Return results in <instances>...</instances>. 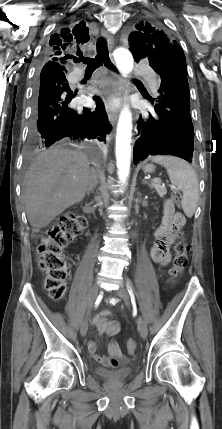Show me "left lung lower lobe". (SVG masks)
<instances>
[{
    "label": "left lung lower lobe",
    "instance_id": "1",
    "mask_svg": "<svg viewBox=\"0 0 222 429\" xmlns=\"http://www.w3.org/2000/svg\"><path fill=\"white\" fill-rule=\"evenodd\" d=\"M156 72L161 77L158 104L154 106V115L138 120L134 164L149 155L162 154L177 156L191 163L194 129L187 73L167 59L160 60Z\"/></svg>",
    "mask_w": 222,
    "mask_h": 429
}]
</instances>
